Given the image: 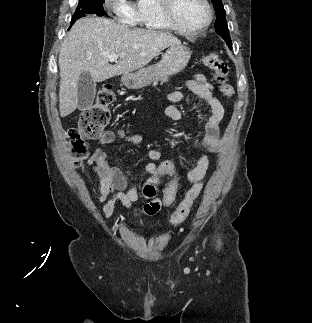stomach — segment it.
Returning <instances> with one entry per match:
<instances>
[{"label":"stomach","mask_w":312,"mask_h":323,"mask_svg":"<svg viewBox=\"0 0 312 323\" xmlns=\"http://www.w3.org/2000/svg\"><path fill=\"white\" fill-rule=\"evenodd\" d=\"M190 58V48L183 46V44H174V46H169L167 52L162 56L161 62L155 66H149V68H141L133 74H123L121 82L129 90L145 88L154 78H167V76H175L178 72H182Z\"/></svg>","instance_id":"0dacf381"}]
</instances>
